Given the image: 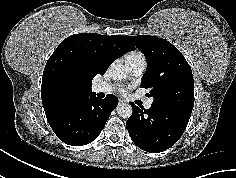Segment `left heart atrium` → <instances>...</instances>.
<instances>
[{
	"label": "left heart atrium",
	"instance_id": "1",
	"mask_svg": "<svg viewBox=\"0 0 236 178\" xmlns=\"http://www.w3.org/2000/svg\"><path fill=\"white\" fill-rule=\"evenodd\" d=\"M120 91H121V92H124V89H123V88H121V89H120Z\"/></svg>",
	"mask_w": 236,
	"mask_h": 178
}]
</instances>
